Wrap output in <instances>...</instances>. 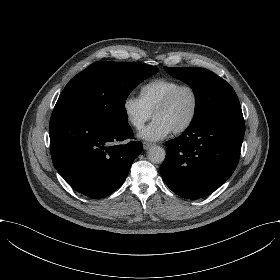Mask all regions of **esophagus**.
<instances>
[{"label": "esophagus", "instance_id": "1", "mask_svg": "<svg viewBox=\"0 0 280 280\" xmlns=\"http://www.w3.org/2000/svg\"><path fill=\"white\" fill-rule=\"evenodd\" d=\"M152 146V143L149 142H143V149L148 150Z\"/></svg>", "mask_w": 280, "mask_h": 280}]
</instances>
